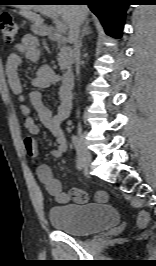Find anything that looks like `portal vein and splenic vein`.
Returning <instances> with one entry per match:
<instances>
[{"mask_svg":"<svg viewBox=\"0 0 156 266\" xmlns=\"http://www.w3.org/2000/svg\"><path fill=\"white\" fill-rule=\"evenodd\" d=\"M42 13L47 16H50L53 19L54 23L56 24V28L60 33H65V31L67 30V26L64 22L59 20L58 15L56 13H51L47 11H42Z\"/></svg>","mask_w":156,"mask_h":266,"instance_id":"18ae733b","label":"portal vein and splenic vein"}]
</instances>
